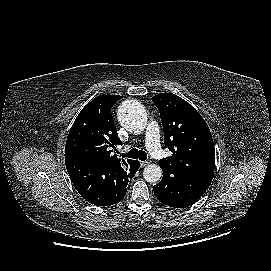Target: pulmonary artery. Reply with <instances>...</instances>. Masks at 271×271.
<instances>
[{"instance_id": "pulmonary-artery-1", "label": "pulmonary artery", "mask_w": 271, "mask_h": 271, "mask_svg": "<svg viewBox=\"0 0 271 271\" xmlns=\"http://www.w3.org/2000/svg\"><path fill=\"white\" fill-rule=\"evenodd\" d=\"M146 144L151 155L157 160L165 158V152L159 141V127L154 121H150L146 128Z\"/></svg>"}]
</instances>
